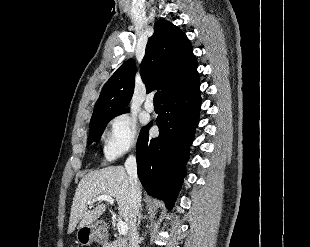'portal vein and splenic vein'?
Returning <instances> with one entry per match:
<instances>
[{"label": "portal vein and splenic vein", "instance_id": "1", "mask_svg": "<svg viewBox=\"0 0 310 247\" xmlns=\"http://www.w3.org/2000/svg\"><path fill=\"white\" fill-rule=\"evenodd\" d=\"M97 201H106L108 203H110L111 205L114 204V200L111 196L109 195H100L98 197H96L92 202H88L89 205L93 204L94 202H97ZM117 228H118V232L120 235H125L127 234L128 232V226L125 222L123 221H119L117 223Z\"/></svg>", "mask_w": 310, "mask_h": 247}]
</instances>
